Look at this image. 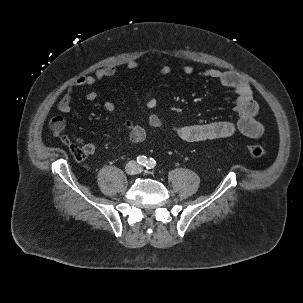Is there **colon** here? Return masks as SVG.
Listing matches in <instances>:
<instances>
[{"label": "colon", "mask_w": 303, "mask_h": 303, "mask_svg": "<svg viewBox=\"0 0 303 303\" xmlns=\"http://www.w3.org/2000/svg\"><path fill=\"white\" fill-rule=\"evenodd\" d=\"M53 131H54V135L69 147L70 152L76 161L80 162V161L84 160V158L86 156L84 149L80 148L77 145L70 143L68 141V139L66 138V136L63 135L62 131H60L59 129H53ZM244 148L251 156L256 157V158H262L267 155L266 149L263 146L258 145V144H248V145H245Z\"/></svg>", "instance_id": "1"}]
</instances>
